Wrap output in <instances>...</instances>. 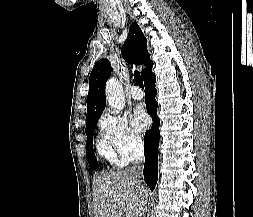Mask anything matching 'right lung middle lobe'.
<instances>
[{"mask_svg": "<svg viewBox=\"0 0 253 217\" xmlns=\"http://www.w3.org/2000/svg\"><path fill=\"white\" fill-rule=\"evenodd\" d=\"M99 118L93 119L87 122L86 125V135H87V142H86V155L87 160L89 163L90 168L98 170V163L94 155L93 151V132L96 128L97 122Z\"/></svg>", "mask_w": 253, "mask_h": 217, "instance_id": "dd1d6c3e", "label": "right lung middle lobe"}]
</instances>
